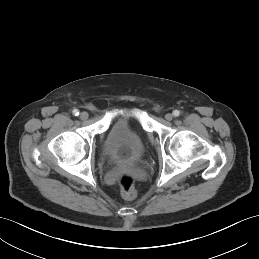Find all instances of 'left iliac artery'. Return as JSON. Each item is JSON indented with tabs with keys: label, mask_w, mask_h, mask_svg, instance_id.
Masks as SVG:
<instances>
[{
	"label": "left iliac artery",
	"mask_w": 259,
	"mask_h": 259,
	"mask_svg": "<svg viewBox=\"0 0 259 259\" xmlns=\"http://www.w3.org/2000/svg\"><path fill=\"white\" fill-rule=\"evenodd\" d=\"M173 115L174 116H179L180 115V111L179 110H174L173 111Z\"/></svg>",
	"instance_id": "1"
}]
</instances>
